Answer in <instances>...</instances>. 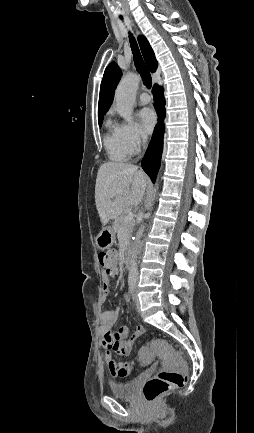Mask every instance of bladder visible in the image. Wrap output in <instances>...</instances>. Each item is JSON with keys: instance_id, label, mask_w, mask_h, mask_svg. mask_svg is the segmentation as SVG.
<instances>
[{"instance_id": "bladder-1", "label": "bladder", "mask_w": 254, "mask_h": 433, "mask_svg": "<svg viewBox=\"0 0 254 433\" xmlns=\"http://www.w3.org/2000/svg\"><path fill=\"white\" fill-rule=\"evenodd\" d=\"M109 391L116 398L134 399L137 395V380L132 379L126 382L111 383Z\"/></svg>"}]
</instances>
